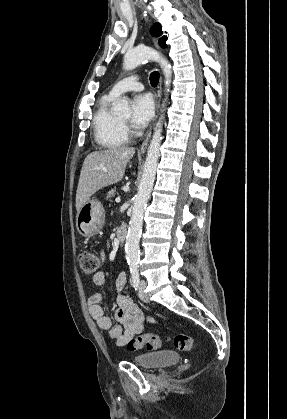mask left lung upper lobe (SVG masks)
Listing matches in <instances>:
<instances>
[{
  "instance_id": "obj_1",
  "label": "left lung upper lobe",
  "mask_w": 287,
  "mask_h": 419,
  "mask_svg": "<svg viewBox=\"0 0 287 419\" xmlns=\"http://www.w3.org/2000/svg\"><path fill=\"white\" fill-rule=\"evenodd\" d=\"M151 33H152L153 36H156V37L160 36L162 34L161 25L159 23L154 24L152 26ZM166 40H167V37H165V36L160 38L159 44H160L161 47H163V48L166 47V43H165Z\"/></svg>"
}]
</instances>
